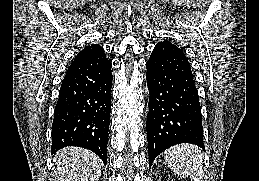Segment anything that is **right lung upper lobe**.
Here are the masks:
<instances>
[{"mask_svg": "<svg viewBox=\"0 0 259 181\" xmlns=\"http://www.w3.org/2000/svg\"><path fill=\"white\" fill-rule=\"evenodd\" d=\"M101 52H103V49L100 45H97V44L90 45L88 47H85L82 51H80L75 56V59L73 60V62L87 57H91Z\"/></svg>", "mask_w": 259, "mask_h": 181, "instance_id": "1", "label": "right lung upper lobe"}]
</instances>
